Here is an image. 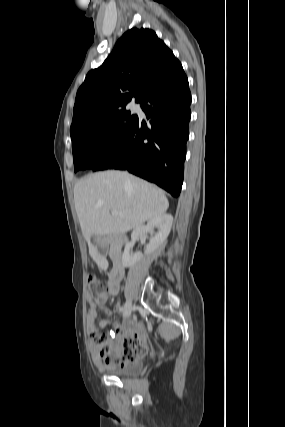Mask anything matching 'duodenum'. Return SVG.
Returning <instances> with one entry per match:
<instances>
[{"instance_id":"410a0bca","label":"duodenum","mask_w":285,"mask_h":427,"mask_svg":"<svg viewBox=\"0 0 285 427\" xmlns=\"http://www.w3.org/2000/svg\"><path fill=\"white\" fill-rule=\"evenodd\" d=\"M119 244L123 242L122 239L117 240ZM124 275V270L121 265V255L119 250H114L113 252V268L110 272L111 279H121Z\"/></svg>"}]
</instances>
